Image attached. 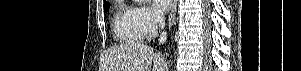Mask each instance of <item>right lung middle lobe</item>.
I'll use <instances>...</instances> for the list:
<instances>
[{"label":"right lung middle lobe","instance_id":"dd1d6c3e","mask_svg":"<svg viewBox=\"0 0 301 71\" xmlns=\"http://www.w3.org/2000/svg\"><path fill=\"white\" fill-rule=\"evenodd\" d=\"M109 8H110V4H109V3L106 4V5H104V11H105V12L108 11Z\"/></svg>","mask_w":301,"mask_h":71}]
</instances>
